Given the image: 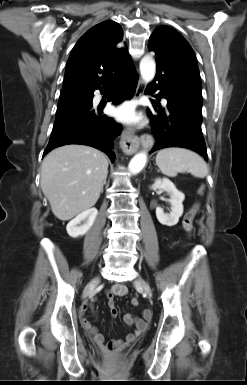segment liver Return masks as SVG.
Listing matches in <instances>:
<instances>
[{
    "label": "liver",
    "mask_w": 247,
    "mask_h": 385,
    "mask_svg": "<svg viewBox=\"0 0 247 385\" xmlns=\"http://www.w3.org/2000/svg\"><path fill=\"white\" fill-rule=\"evenodd\" d=\"M107 174L108 160L103 152L69 144L44 158L40 184L53 214L67 221L96 204Z\"/></svg>",
    "instance_id": "liver-1"
}]
</instances>
